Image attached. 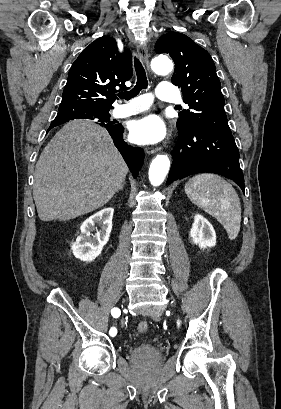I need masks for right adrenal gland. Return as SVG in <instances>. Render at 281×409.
<instances>
[{"label":"right adrenal gland","instance_id":"obj_1","mask_svg":"<svg viewBox=\"0 0 281 409\" xmlns=\"http://www.w3.org/2000/svg\"><path fill=\"white\" fill-rule=\"evenodd\" d=\"M124 184H126L125 180H123V182H121V184H120L119 188H117L116 192H118V190H123Z\"/></svg>","mask_w":281,"mask_h":409}]
</instances>
